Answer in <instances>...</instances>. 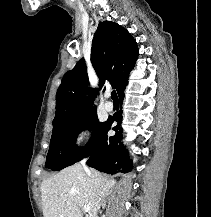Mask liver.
<instances>
[{"mask_svg": "<svg viewBox=\"0 0 211 217\" xmlns=\"http://www.w3.org/2000/svg\"><path fill=\"white\" fill-rule=\"evenodd\" d=\"M115 185L94 169L75 164L61 170L41 184L44 217H83L81 208L90 206L88 217H96L100 200Z\"/></svg>", "mask_w": 211, "mask_h": 217, "instance_id": "6515ba94", "label": "liver"}]
</instances>
